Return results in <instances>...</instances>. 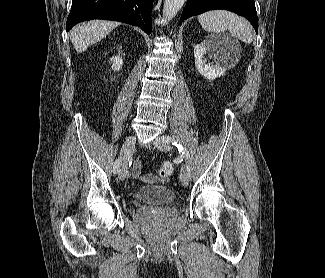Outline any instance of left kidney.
<instances>
[{
    "label": "left kidney",
    "instance_id": "left-kidney-1",
    "mask_svg": "<svg viewBox=\"0 0 325 278\" xmlns=\"http://www.w3.org/2000/svg\"><path fill=\"white\" fill-rule=\"evenodd\" d=\"M214 59L215 65L207 64L205 55ZM195 65L198 72L209 80L224 75L228 63L237 61V56L228 40L221 36H208L194 47Z\"/></svg>",
    "mask_w": 325,
    "mask_h": 278
}]
</instances>
